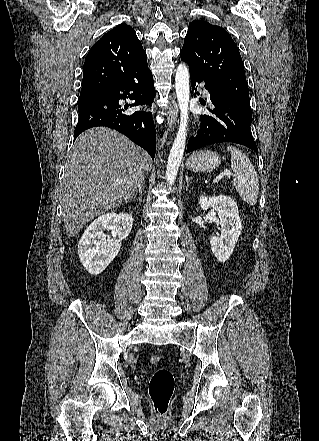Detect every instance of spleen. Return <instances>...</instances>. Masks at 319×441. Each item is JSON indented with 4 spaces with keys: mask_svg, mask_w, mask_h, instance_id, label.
<instances>
[{
    "mask_svg": "<svg viewBox=\"0 0 319 441\" xmlns=\"http://www.w3.org/2000/svg\"><path fill=\"white\" fill-rule=\"evenodd\" d=\"M231 154V168L235 173L233 185L240 197L249 205H255L259 193L257 173L247 155L235 146H227Z\"/></svg>",
    "mask_w": 319,
    "mask_h": 441,
    "instance_id": "spleen-1",
    "label": "spleen"
}]
</instances>
